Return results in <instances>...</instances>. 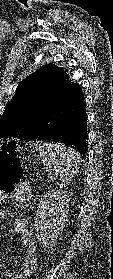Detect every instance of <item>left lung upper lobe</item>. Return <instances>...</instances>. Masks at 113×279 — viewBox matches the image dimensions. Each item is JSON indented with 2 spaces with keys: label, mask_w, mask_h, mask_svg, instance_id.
<instances>
[{
  "label": "left lung upper lobe",
  "mask_w": 113,
  "mask_h": 279,
  "mask_svg": "<svg viewBox=\"0 0 113 279\" xmlns=\"http://www.w3.org/2000/svg\"><path fill=\"white\" fill-rule=\"evenodd\" d=\"M63 75V68L50 63L23 79L0 119V138H18L25 124L32 118L36 106L48 97Z\"/></svg>",
  "instance_id": "5c2ea615"
}]
</instances>
